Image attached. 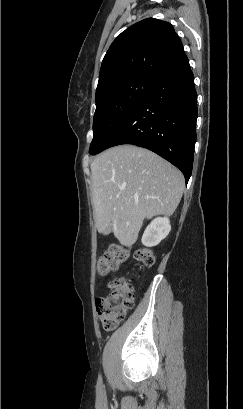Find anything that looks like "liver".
Here are the masks:
<instances>
[{"label": "liver", "mask_w": 243, "mask_h": 409, "mask_svg": "<svg viewBox=\"0 0 243 409\" xmlns=\"http://www.w3.org/2000/svg\"><path fill=\"white\" fill-rule=\"evenodd\" d=\"M92 206L100 233L110 227L124 246L133 245L145 219L170 216L183 194V174L157 154L119 145L91 163Z\"/></svg>", "instance_id": "1"}]
</instances>
